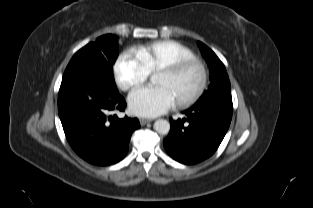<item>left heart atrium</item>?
Returning a JSON list of instances; mask_svg holds the SVG:
<instances>
[{
	"label": "left heart atrium",
	"instance_id": "obj_1",
	"mask_svg": "<svg viewBox=\"0 0 313 208\" xmlns=\"http://www.w3.org/2000/svg\"><path fill=\"white\" fill-rule=\"evenodd\" d=\"M174 102L173 95L164 86L141 87L128 97L131 112L144 117L161 115L169 110Z\"/></svg>",
	"mask_w": 313,
	"mask_h": 208
}]
</instances>
